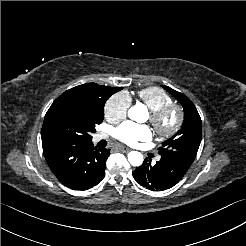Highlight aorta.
<instances>
[{"label": "aorta", "instance_id": "762f6f07", "mask_svg": "<svg viewBox=\"0 0 246 246\" xmlns=\"http://www.w3.org/2000/svg\"><path fill=\"white\" fill-rule=\"evenodd\" d=\"M128 116L136 122H142L146 117V107L137 104L128 110ZM128 161L132 166L138 167L143 163V155L138 151H131L128 154Z\"/></svg>", "mask_w": 246, "mask_h": 246}]
</instances>
